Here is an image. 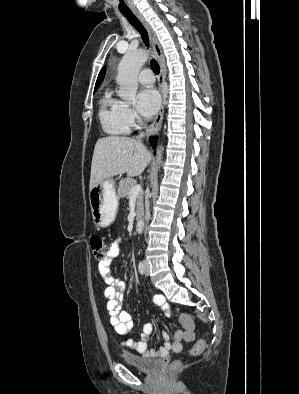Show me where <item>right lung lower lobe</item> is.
<instances>
[{"label":"right lung lower lobe","mask_w":299,"mask_h":394,"mask_svg":"<svg viewBox=\"0 0 299 394\" xmlns=\"http://www.w3.org/2000/svg\"><path fill=\"white\" fill-rule=\"evenodd\" d=\"M156 141H157V140H156V138H154V137L150 139V143H151L154 147L156 146Z\"/></svg>","instance_id":"1"}]
</instances>
